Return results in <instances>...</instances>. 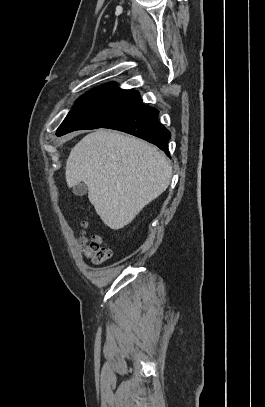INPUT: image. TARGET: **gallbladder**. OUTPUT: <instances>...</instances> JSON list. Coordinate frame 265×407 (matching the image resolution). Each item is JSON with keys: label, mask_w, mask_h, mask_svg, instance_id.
<instances>
[{"label": "gallbladder", "mask_w": 265, "mask_h": 407, "mask_svg": "<svg viewBox=\"0 0 265 407\" xmlns=\"http://www.w3.org/2000/svg\"><path fill=\"white\" fill-rule=\"evenodd\" d=\"M72 191L76 196H83L87 193V186L84 183H79L72 188Z\"/></svg>", "instance_id": "1"}]
</instances>
